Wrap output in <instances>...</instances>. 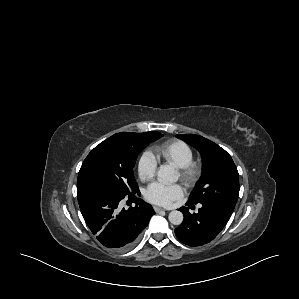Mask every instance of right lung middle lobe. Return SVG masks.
I'll return each mask as SVG.
<instances>
[{"mask_svg": "<svg viewBox=\"0 0 299 299\" xmlns=\"http://www.w3.org/2000/svg\"><path fill=\"white\" fill-rule=\"evenodd\" d=\"M161 136V133L153 131L141 133L134 144L111 136L88 154L80 168L77 185L93 181L124 194L136 192L138 185L133 175L136 158L146 145Z\"/></svg>", "mask_w": 299, "mask_h": 299, "instance_id": "right-lung-middle-lobe-1", "label": "right lung middle lobe"}]
</instances>
